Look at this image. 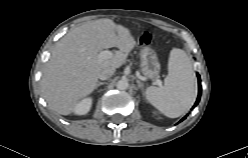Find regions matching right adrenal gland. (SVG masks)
I'll return each mask as SVG.
<instances>
[{"mask_svg": "<svg viewBox=\"0 0 248 158\" xmlns=\"http://www.w3.org/2000/svg\"><path fill=\"white\" fill-rule=\"evenodd\" d=\"M103 84H105V82L98 81L97 84H96V86H95V89H97L100 85H103Z\"/></svg>", "mask_w": 248, "mask_h": 158, "instance_id": "1", "label": "right adrenal gland"}]
</instances>
